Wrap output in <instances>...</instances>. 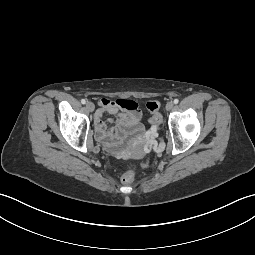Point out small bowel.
<instances>
[{
  "label": "small bowel",
  "instance_id": "small-bowel-1",
  "mask_svg": "<svg viewBox=\"0 0 255 255\" xmlns=\"http://www.w3.org/2000/svg\"><path fill=\"white\" fill-rule=\"evenodd\" d=\"M105 114L116 117L114 126L104 120ZM95 129L98 140L103 144L107 147L117 146L127 134L142 129L138 104L129 99H101L95 114Z\"/></svg>",
  "mask_w": 255,
  "mask_h": 255
}]
</instances>
